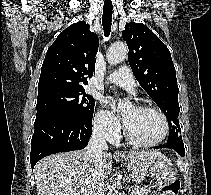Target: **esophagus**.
<instances>
[{
    "mask_svg": "<svg viewBox=\"0 0 211 195\" xmlns=\"http://www.w3.org/2000/svg\"><path fill=\"white\" fill-rule=\"evenodd\" d=\"M114 156H115V157H123L124 155H123V153L120 152L119 150H116V151L114 152Z\"/></svg>",
    "mask_w": 211,
    "mask_h": 195,
    "instance_id": "obj_1",
    "label": "esophagus"
}]
</instances>
